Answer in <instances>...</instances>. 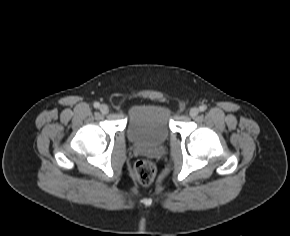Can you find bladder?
<instances>
[{
  "label": "bladder",
  "instance_id": "31cf9c89",
  "mask_svg": "<svg viewBox=\"0 0 290 236\" xmlns=\"http://www.w3.org/2000/svg\"><path fill=\"white\" fill-rule=\"evenodd\" d=\"M171 110L165 105H137L127 122L128 139L135 144L160 145L171 132Z\"/></svg>",
  "mask_w": 290,
  "mask_h": 236
}]
</instances>
